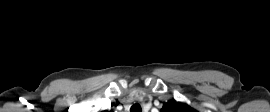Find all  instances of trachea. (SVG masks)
<instances>
[{
  "label": "trachea",
  "mask_w": 270,
  "mask_h": 112,
  "mask_svg": "<svg viewBox=\"0 0 270 112\" xmlns=\"http://www.w3.org/2000/svg\"><path fill=\"white\" fill-rule=\"evenodd\" d=\"M130 112H142V108L139 104H134L131 108H130Z\"/></svg>",
  "instance_id": "obj_1"
}]
</instances>
